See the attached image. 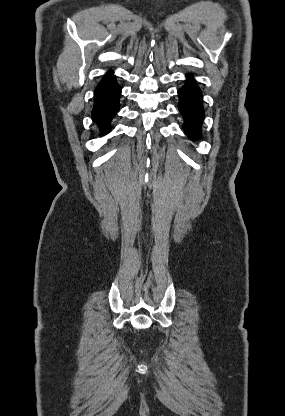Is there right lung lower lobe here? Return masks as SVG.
<instances>
[{
    "mask_svg": "<svg viewBox=\"0 0 285 416\" xmlns=\"http://www.w3.org/2000/svg\"><path fill=\"white\" fill-rule=\"evenodd\" d=\"M121 88L115 76L102 80L94 92V107L92 118L105 133L113 116L119 110V97Z\"/></svg>",
    "mask_w": 285,
    "mask_h": 416,
    "instance_id": "1",
    "label": "right lung lower lobe"
}]
</instances>
